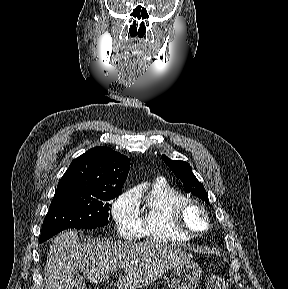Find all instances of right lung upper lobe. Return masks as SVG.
Returning a JSON list of instances; mask_svg holds the SVG:
<instances>
[{"label":"right lung upper lobe","mask_w":288,"mask_h":289,"mask_svg":"<svg viewBox=\"0 0 288 289\" xmlns=\"http://www.w3.org/2000/svg\"><path fill=\"white\" fill-rule=\"evenodd\" d=\"M130 160L108 147H95L74 159L58 183L56 192L121 191Z\"/></svg>","instance_id":"obj_1"}]
</instances>
